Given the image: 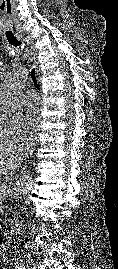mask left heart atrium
Returning <instances> with one entry per match:
<instances>
[{"label":"left heart atrium","instance_id":"left-heart-atrium-1","mask_svg":"<svg viewBox=\"0 0 118 269\" xmlns=\"http://www.w3.org/2000/svg\"><path fill=\"white\" fill-rule=\"evenodd\" d=\"M40 115L36 108H31L26 114V121L30 128L36 129L40 123Z\"/></svg>","mask_w":118,"mask_h":269}]
</instances>
